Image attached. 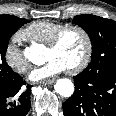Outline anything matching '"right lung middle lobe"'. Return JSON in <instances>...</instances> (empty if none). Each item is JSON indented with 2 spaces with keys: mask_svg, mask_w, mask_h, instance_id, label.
Listing matches in <instances>:
<instances>
[{
  "mask_svg": "<svg viewBox=\"0 0 116 116\" xmlns=\"http://www.w3.org/2000/svg\"><path fill=\"white\" fill-rule=\"evenodd\" d=\"M29 20H7L0 18V84L12 82L18 74L13 72L5 60L10 37Z\"/></svg>",
  "mask_w": 116,
  "mask_h": 116,
  "instance_id": "right-lung-middle-lobe-1",
  "label": "right lung middle lobe"
}]
</instances>
